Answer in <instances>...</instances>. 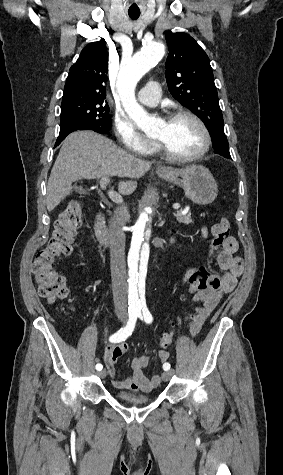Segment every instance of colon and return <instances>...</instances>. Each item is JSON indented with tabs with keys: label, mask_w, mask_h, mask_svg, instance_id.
Instances as JSON below:
<instances>
[{
	"label": "colon",
	"mask_w": 283,
	"mask_h": 475,
	"mask_svg": "<svg viewBox=\"0 0 283 475\" xmlns=\"http://www.w3.org/2000/svg\"><path fill=\"white\" fill-rule=\"evenodd\" d=\"M82 207L77 201H72L60 214L55 224V228L49 244L38 251L34 258L33 277L38 287L41 298L48 304L53 305L59 300L65 299L69 294V286L65 278L57 274L54 269V263L62 256L69 255L72 250L71 241L82 223ZM229 235V220L225 215H219L212 226L211 254L221 248ZM213 274L210 264L201 266L193 272L190 277L191 292L198 294L206 289ZM174 327L171 326L165 331L160 340L159 346L162 349L157 356L159 363H165L169 356L167 348L173 339Z\"/></svg>",
	"instance_id": "obj_1"
}]
</instances>
